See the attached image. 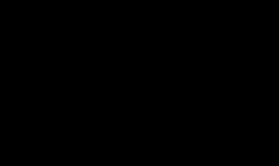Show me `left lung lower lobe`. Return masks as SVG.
I'll return each mask as SVG.
<instances>
[{
    "instance_id": "left-lung-lower-lobe-1",
    "label": "left lung lower lobe",
    "mask_w": 279,
    "mask_h": 166,
    "mask_svg": "<svg viewBox=\"0 0 279 166\" xmlns=\"http://www.w3.org/2000/svg\"><path fill=\"white\" fill-rule=\"evenodd\" d=\"M149 98L161 126L180 139L201 137L231 110L239 59L226 36L201 22H186L145 55Z\"/></svg>"
}]
</instances>
